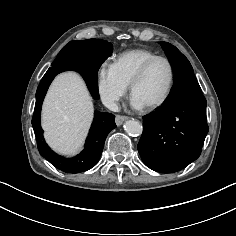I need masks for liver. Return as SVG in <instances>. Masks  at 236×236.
I'll return each instance as SVG.
<instances>
[{"mask_svg":"<svg viewBox=\"0 0 236 236\" xmlns=\"http://www.w3.org/2000/svg\"><path fill=\"white\" fill-rule=\"evenodd\" d=\"M93 119L91 96L81 77L72 72L52 82L42 108V127L48 144L58 153L74 155Z\"/></svg>","mask_w":236,"mask_h":236,"instance_id":"obj_1","label":"liver"}]
</instances>
